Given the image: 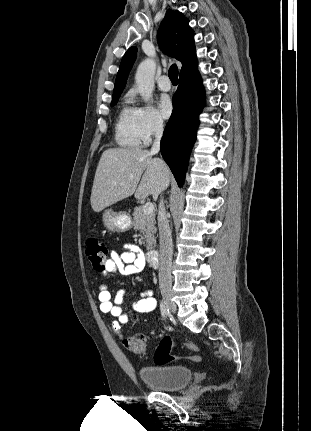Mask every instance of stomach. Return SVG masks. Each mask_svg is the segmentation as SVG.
<instances>
[{"label":"stomach","instance_id":"0dacf381","mask_svg":"<svg viewBox=\"0 0 311 431\" xmlns=\"http://www.w3.org/2000/svg\"><path fill=\"white\" fill-rule=\"evenodd\" d=\"M102 223L108 231H128L134 225L132 216L128 212H113V210H104Z\"/></svg>","mask_w":311,"mask_h":431}]
</instances>
